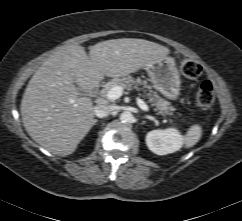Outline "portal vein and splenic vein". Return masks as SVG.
<instances>
[{
	"mask_svg": "<svg viewBox=\"0 0 242 221\" xmlns=\"http://www.w3.org/2000/svg\"><path fill=\"white\" fill-rule=\"evenodd\" d=\"M122 94H123V88L121 86H115L108 91L106 98L110 101H115V100L119 99L122 96ZM136 100H137L138 106L143 111L149 110L148 105L145 104V102L142 99L137 98Z\"/></svg>",
	"mask_w": 242,
	"mask_h": 221,
	"instance_id": "18ae733b",
	"label": "portal vein and splenic vein"
}]
</instances>
